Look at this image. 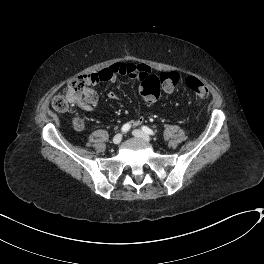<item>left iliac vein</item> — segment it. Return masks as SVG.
<instances>
[{
    "label": "left iliac vein",
    "mask_w": 264,
    "mask_h": 264,
    "mask_svg": "<svg viewBox=\"0 0 264 264\" xmlns=\"http://www.w3.org/2000/svg\"><path fill=\"white\" fill-rule=\"evenodd\" d=\"M132 134H133L135 137L140 138V139H142V140H144V141H146V142H150V141H151L150 136H149L148 134H146L145 132H143L142 130H138V129H136V130H134V131L132 132Z\"/></svg>",
    "instance_id": "1"
}]
</instances>
